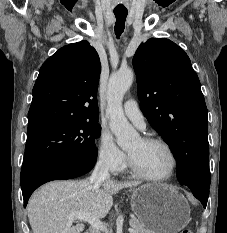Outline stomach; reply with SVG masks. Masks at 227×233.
<instances>
[{"label": "stomach", "instance_id": "0dacf381", "mask_svg": "<svg viewBox=\"0 0 227 233\" xmlns=\"http://www.w3.org/2000/svg\"><path fill=\"white\" fill-rule=\"evenodd\" d=\"M131 207L151 233H177L190 221L187 200L169 185L146 184L134 188Z\"/></svg>", "mask_w": 227, "mask_h": 233}]
</instances>
